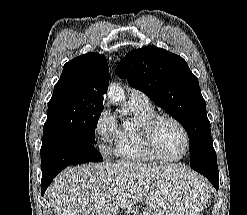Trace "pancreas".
<instances>
[{
  "label": "pancreas",
  "instance_id": "1",
  "mask_svg": "<svg viewBox=\"0 0 247 215\" xmlns=\"http://www.w3.org/2000/svg\"><path fill=\"white\" fill-rule=\"evenodd\" d=\"M131 214L137 215L138 214V208L137 207H133V208L129 209L127 211V215H131Z\"/></svg>",
  "mask_w": 247,
  "mask_h": 215
}]
</instances>
